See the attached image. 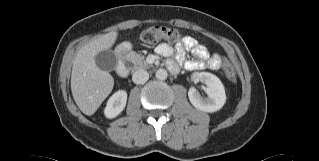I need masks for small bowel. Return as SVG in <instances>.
Instances as JSON below:
<instances>
[{
  "label": "small bowel",
  "instance_id": "c3829d8e",
  "mask_svg": "<svg viewBox=\"0 0 319 161\" xmlns=\"http://www.w3.org/2000/svg\"><path fill=\"white\" fill-rule=\"evenodd\" d=\"M156 51L164 57H170L174 53L173 48L167 43L158 45ZM175 51L177 60L181 63L184 62L185 68L191 71L201 70L206 67L210 68L211 63L222 61V57L219 54L210 55L208 49L192 37H185L182 43L176 46ZM187 51H190L196 59L185 61ZM168 67L172 72L178 70V64L175 61H168Z\"/></svg>",
  "mask_w": 319,
  "mask_h": 161
}]
</instances>
